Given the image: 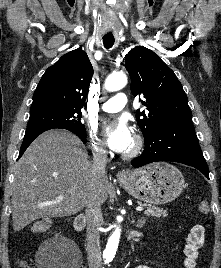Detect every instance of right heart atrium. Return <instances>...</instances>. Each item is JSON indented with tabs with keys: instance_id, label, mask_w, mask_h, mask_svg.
I'll return each instance as SVG.
<instances>
[{
	"instance_id": "d8ad5b80",
	"label": "right heart atrium",
	"mask_w": 221,
	"mask_h": 268,
	"mask_svg": "<svg viewBox=\"0 0 221 268\" xmlns=\"http://www.w3.org/2000/svg\"><path fill=\"white\" fill-rule=\"evenodd\" d=\"M88 136L93 153L97 156H105L107 151L93 128L89 130Z\"/></svg>"
}]
</instances>
